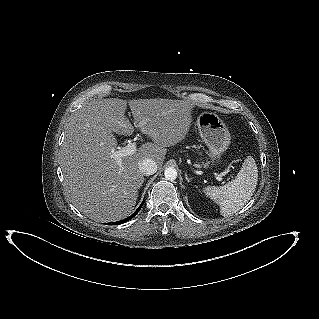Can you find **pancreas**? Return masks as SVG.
Returning a JSON list of instances; mask_svg holds the SVG:
<instances>
[{
  "instance_id": "pancreas-1",
  "label": "pancreas",
  "mask_w": 319,
  "mask_h": 319,
  "mask_svg": "<svg viewBox=\"0 0 319 319\" xmlns=\"http://www.w3.org/2000/svg\"><path fill=\"white\" fill-rule=\"evenodd\" d=\"M204 165V164H203ZM196 167L200 168L201 165L200 164H195ZM204 166H207L206 164Z\"/></svg>"
}]
</instances>
